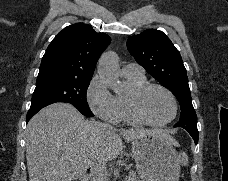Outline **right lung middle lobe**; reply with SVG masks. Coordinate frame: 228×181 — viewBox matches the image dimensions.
<instances>
[{
	"label": "right lung middle lobe",
	"mask_w": 228,
	"mask_h": 181,
	"mask_svg": "<svg viewBox=\"0 0 228 181\" xmlns=\"http://www.w3.org/2000/svg\"><path fill=\"white\" fill-rule=\"evenodd\" d=\"M91 79H76L59 75L38 77L30 109L43 108L56 102L74 105L84 116H94L86 93Z\"/></svg>",
	"instance_id": "obj_1"
}]
</instances>
